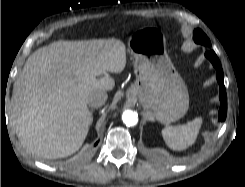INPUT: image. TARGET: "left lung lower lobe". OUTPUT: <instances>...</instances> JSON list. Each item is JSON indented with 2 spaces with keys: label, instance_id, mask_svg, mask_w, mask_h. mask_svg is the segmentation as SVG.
<instances>
[{
  "label": "left lung lower lobe",
  "instance_id": "0a47b994",
  "mask_svg": "<svg viewBox=\"0 0 245 187\" xmlns=\"http://www.w3.org/2000/svg\"><path fill=\"white\" fill-rule=\"evenodd\" d=\"M205 56L211 61L213 66L216 69L217 80L220 87V109H219V121H224L226 119L227 114V95L226 89L224 86V76L221 68L220 61L213 50H210L205 53Z\"/></svg>",
  "mask_w": 245,
  "mask_h": 187
}]
</instances>
